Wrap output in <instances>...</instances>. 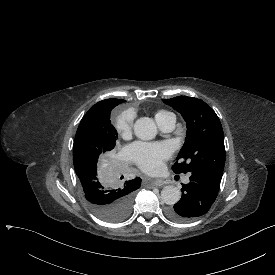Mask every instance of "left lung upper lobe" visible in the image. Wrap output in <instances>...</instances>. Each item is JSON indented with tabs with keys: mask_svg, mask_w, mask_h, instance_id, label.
<instances>
[{
	"mask_svg": "<svg viewBox=\"0 0 275 275\" xmlns=\"http://www.w3.org/2000/svg\"><path fill=\"white\" fill-rule=\"evenodd\" d=\"M186 121L185 143L172 166L175 173L207 172L222 176L225 164L223 129L216 113L202 100L178 96L163 99Z\"/></svg>",
	"mask_w": 275,
	"mask_h": 275,
	"instance_id": "1",
	"label": "left lung upper lobe"
}]
</instances>
